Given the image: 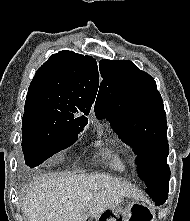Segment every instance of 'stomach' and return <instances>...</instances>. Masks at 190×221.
Returning a JSON list of instances; mask_svg holds the SVG:
<instances>
[{"label": "stomach", "instance_id": "0dacf381", "mask_svg": "<svg viewBox=\"0 0 190 221\" xmlns=\"http://www.w3.org/2000/svg\"><path fill=\"white\" fill-rule=\"evenodd\" d=\"M120 205L103 211L95 221H153L151 218H132L154 216L146 200H120Z\"/></svg>", "mask_w": 190, "mask_h": 221}]
</instances>
